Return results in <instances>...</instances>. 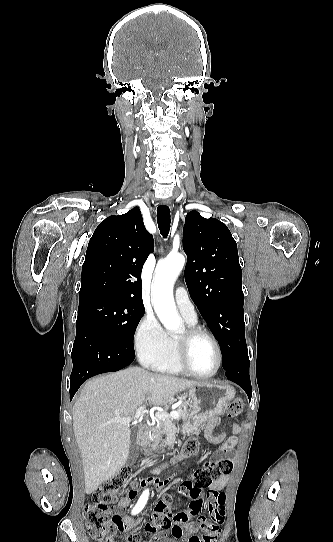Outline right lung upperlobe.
I'll list each match as a JSON object with an SVG mask.
<instances>
[{"label": "right lung upper lobe", "mask_w": 333, "mask_h": 542, "mask_svg": "<svg viewBox=\"0 0 333 542\" xmlns=\"http://www.w3.org/2000/svg\"><path fill=\"white\" fill-rule=\"evenodd\" d=\"M153 248V237L145 229L138 207L106 218L88 244L79 304L101 298L143 306L141 271Z\"/></svg>", "instance_id": "cb5924a9"}]
</instances>
